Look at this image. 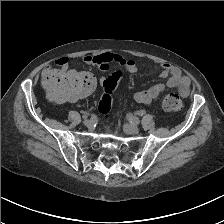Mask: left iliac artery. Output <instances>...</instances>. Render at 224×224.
Segmentation results:
<instances>
[{"instance_id": "left-iliac-artery-1", "label": "left iliac artery", "mask_w": 224, "mask_h": 224, "mask_svg": "<svg viewBox=\"0 0 224 224\" xmlns=\"http://www.w3.org/2000/svg\"><path fill=\"white\" fill-rule=\"evenodd\" d=\"M129 120H130L131 123H133L135 125L140 123V120L137 117H135V116H130Z\"/></svg>"}]
</instances>
